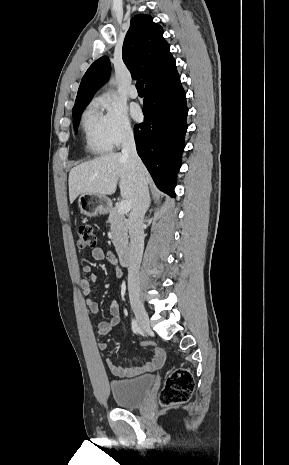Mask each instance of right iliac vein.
<instances>
[{
  "instance_id": "obj_1",
  "label": "right iliac vein",
  "mask_w": 289,
  "mask_h": 465,
  "mask_svg": "<svg viewBox=\"0 0 289 465\" xmlns=\"http://www.w3.org/2000/svg\"><path fill=\"white\" fill-rule=\"evenodd\" d=\"M131 306L135 313L139 327L143 332L149 334L151 332L150 322L143 304L139 300L133 299L131 301Z\"/></svg>"
}]
</instances>
